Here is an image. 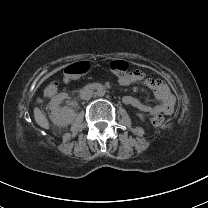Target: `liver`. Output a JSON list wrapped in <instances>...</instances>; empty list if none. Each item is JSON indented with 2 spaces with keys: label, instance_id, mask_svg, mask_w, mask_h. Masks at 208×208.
Masks as SVG:
<instances>
[{
  "label": "liver",
  "instance_id": "obj_1",
  "mask_svg": "<svg viewBox=\"0 0 208 208\" xmlns=\"http://www.w3.org/2000/svg\"><path fill=\"white\" fill-rule=\"evenodd\" d=\"M41 100L38 99V102H40ZM34 117H35V121L36 123L41 126L44 129H49V122L47 120V118L45 117V115L41 112V110L39 108H35L34 109Z\"/></svg>",
  "mask_w": 208,
  "mask_h": 208
}]
</instances>
